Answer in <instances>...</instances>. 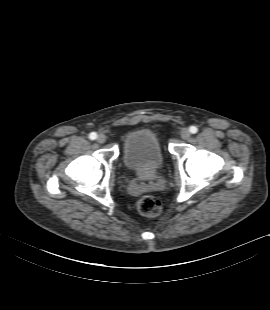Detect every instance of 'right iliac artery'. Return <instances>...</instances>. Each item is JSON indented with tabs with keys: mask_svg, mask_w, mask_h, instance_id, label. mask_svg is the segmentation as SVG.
Returning a JSON list of instances; mask_svg holds the SVG:
<instances>
[{
	"mask_svg": "<svg viewBox=\"0 0 270 310\" xmlns=\"http://www.w3.org/2000/svg\"><path fill=\"white\" fill-rule=\"evenodd\" d=\"M89 138L91 140H95L97 138V134L95 132H92V133L89 134Z\"/></svg>",
	"mask_w": 270,
	"mask_h": 310,
	"instance_id": "right-iliac-artery-1",
	"label": "right iliac artery"
}]
</instances>
